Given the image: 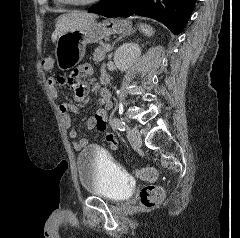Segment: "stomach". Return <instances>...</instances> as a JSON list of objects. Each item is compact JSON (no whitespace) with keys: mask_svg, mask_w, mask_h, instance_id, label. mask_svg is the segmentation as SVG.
<instances>
[{"mask_svg":"<svg viewBox=\"0 0 240 238\" xmlns=\"http://www.w3.org/2000/svg\"><path fill=\"white\" fill-rule=\"evenodd\" d=\"M130 29L131 24L127 20L106 19L100 23L88 21L77 29L60 34L55 48L58 68L65 71L76 66L84 57L87 44Z\"/></svg>","mask_w":240,"mask_h":238,"instance_id":"0dacf381","label":"stomach"}]
</instances>
